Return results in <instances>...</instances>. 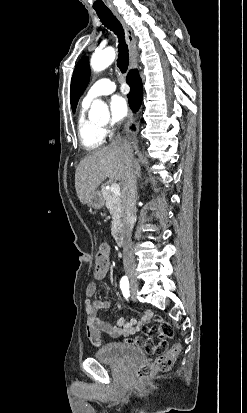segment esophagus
I'll return each mask as SVG.
<instances>
[{
  "label": "esophagus",
  "mask_w": 247,
  "mask_h": 413,
  "mask_svg": "<svg viewBox=\"0 0 247 413\" xmlns=\"http://www.w3.org/2000/svg\"><path fill=\"white\" fill-rule=\"evenodd\" d=\"M115 17L118 18V20L121 22L124 31H125V35L127 38V42H128V48H129V55H130V67L131 68H136L137 64H138V50H137V44H136V40L133 36V32L131 30V28L127 25V23L124 21V19L117 13V12H113Z\"/></svg>",
  "instance_id": "1"
}]
</instances>
